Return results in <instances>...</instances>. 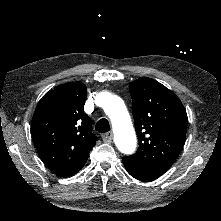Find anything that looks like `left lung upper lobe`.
I'll return each mask as SVG.
<instances>
[{
    "label": "left lung upper lobe",
    "mask_w": 221,
    "mask_h": 221,
    "mask_svg": "<svg viewBox=\"0 0 221 221\" xmlns=\"http://www.w3.org/2000/svg\"><path fill=\"white\" fill-rule=\"evenodd\" d=\"M129 90L139 148L123 159L156 179L170 168L183 148L187 114L180 99L151 78L131 82Z\"/></svg>",
    "instance_id": "left-lung-upper-lobe-1"
}]
</instances>
